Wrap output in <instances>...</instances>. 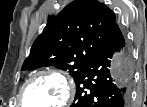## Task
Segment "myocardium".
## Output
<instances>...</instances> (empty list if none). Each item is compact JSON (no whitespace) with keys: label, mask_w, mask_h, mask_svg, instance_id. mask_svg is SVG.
<instances>
[{"label":"myocardium","mask_w":147,"mask_h":107,"mask_svg":"<svg viewBox=\"0 0 147 107\" xmlns=\"http://www.w3.org/2000/svg\"><path fill=\"white\" fill-rule=\"evenodd\" d=\"M42 77L57 78L62 83V85L64 87V91H65L64 98L62 99V101L60 103H58L54 107H65L72 101V98L74 96V91H75L73 81L66 74H64L63 72H61L59 70L47 69V70H43V71H39V72L35 73L23 85V87L21 88V91H20V96H19V102L22 106H27V104L25 102V95H26V92H27L28 88L30 87V85L33 82H35L37 79L42 78Z\"/></svg>","instance_id":"f54148a6"}]
</instances>
